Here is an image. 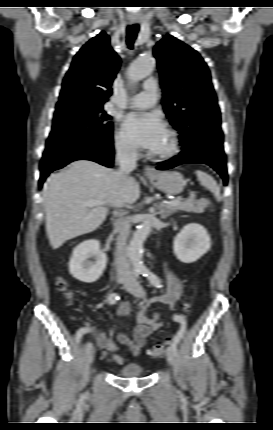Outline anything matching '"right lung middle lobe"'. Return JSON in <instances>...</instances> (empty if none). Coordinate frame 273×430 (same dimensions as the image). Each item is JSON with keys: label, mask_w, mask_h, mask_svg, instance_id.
I'll use <instances>...</instances> for the list:
<instances>
[{"label": "right lung middle lobe", "mask_w": 273, "mask_h": 430, "mask_svg": "<svg viewBox=\"0 0 273 430\" xmlns=\"http://www.w3.org/2000/svg\"><path fill=\"white\" fill-rule=\"evenodd\" d=\"M109 118L103 107L81 102L56 108L43 157L76 147L113 143V126L106 122Z\"/></svg>", "instance_id": "dd1d6c3e"}]
</instances>
